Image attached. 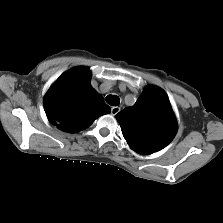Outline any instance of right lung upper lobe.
<instances>
[{
    "mask_svg": "<svg viewBox=\"0 0 223 223\" xmlns=\"http://www.w3.org/2000/svg\"><path fill=\"white\" fill-rule=\"evenodd\" d=\"M90 77L88 68L69 70L52 84L45 95L48 120L60 130L78 132L110 112L102 96L92 88Z\"/></svg>",
    "mask_w": 223,
    "mask_h": 223,
    "instance_id": "cb5924a9",
    "label": "right lung upper lobe"
}]
</instances>
